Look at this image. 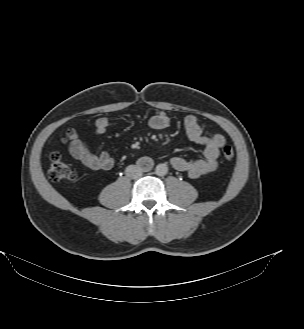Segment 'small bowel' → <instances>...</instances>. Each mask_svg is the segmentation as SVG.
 Returning a JSON list of instances; mask_svg holds the SVG:
<instances>
[{
	"label": "small bowel",
	"mask_w": 304,
	"mask_h": 329,
	"mask_svg": "<svg viewBox=\"0 0 304 329\" xmlns=\"http://www.w3.org/2000/svg\"><path fill=\"white\" fill-rule=\"evenodd\" d=\"M170 122L171 119L165 112L158 111L150 117L148 124L153 129H164L170 125ZM183 124L189 139L203 146V158L190 161L175 156L171 159L172 167L186 173L192 179L211 174L218 167L220 149L226 143L225 137L222 134L205 135L204 125L194 115H187ZM109 126L110 120L107 117H99L95 121L94 131L99 135L104 134ZM70 152L80 163L93 170H109L114 165V160L108 152L93 153L88 143L78 139L77 136L71 141Z\"/></svg>",
	"instance_id": "1"
}]
</instances>
